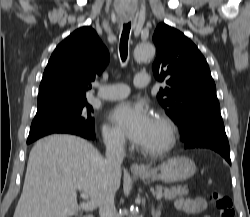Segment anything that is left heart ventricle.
Wrapping results in <instances>:
<instances>
[{"instance_id": "left-heart-ventricle-1", "label": "left heart ventricle", "mask_w": 250, "mask_h": 217, "mask_svg": "<svg viewBox=\"0 0 250 217\" xmlns=\"http://www.w3.org/2000/svg\"><path fill=\"white\" fill-rule=\"evenodd\" d=\"M165 140V130L162 124L153 118V123L146 136L145 141L141 144L144 148H154L161 145Z\"/></svg>"}]
</instances>
